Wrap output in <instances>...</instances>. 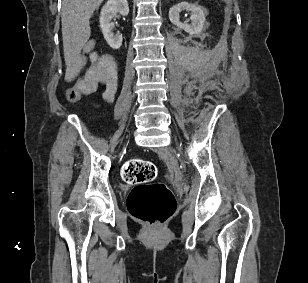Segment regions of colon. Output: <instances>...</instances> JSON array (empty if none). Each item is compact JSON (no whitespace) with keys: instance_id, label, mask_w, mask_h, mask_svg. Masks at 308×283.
Returning a JSON list of instances; mask_svg holds the SVG:
<instances>
[{"instance_id":"1","label":"colon","mask_w":308,"mask_h":283,"mask_svg":"<svg viewBox=\"0 0 308 283\" xmlns=\"http://www.w3.org/2000/svg\"><path fill=\"white\" fill-rule=\"evenodd\" d=\"M96 41L90 39L82 49L84 56L94 53ZM81 77L66 91L69 102H77L83 93ZM157 174L156 166L147 160L130 159L122 167V179L134 185L127 199L129 212L136 219L149 225H163L174 213L176 200L172 191L163 183H151Z\"/></svg>"}]
</instances>
